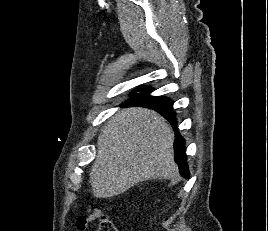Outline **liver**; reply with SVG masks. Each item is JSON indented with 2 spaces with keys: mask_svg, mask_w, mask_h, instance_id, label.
<instances>
[{
  "mask_svg": "<svg viewBox=\"0 0 268 231\" xmlns=\"http://www.w3.org/2000/svg\"><path fill=\"white\" fill-rule=\"evenodd\" d=\"M174 133L156 111L131 107L119 111L102 129L89 183L96 198L126 192L149 179L178 176Z\"/></svg>",
  "mask_w": 268,
  "mask_h": 231,
  "instance_id": "obj_1",
  "label": "liver"
}]
</instances>
